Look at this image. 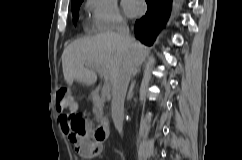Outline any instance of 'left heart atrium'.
Returning <instances> with one entry per match:
<instances>
[{
  "label": "left heart atrium",
  "mask_w": 242,
  "mask_h": 160,
  "mask_svg": "<svg viewBox=\"0 0 242 160\" xmlns=\"http://www.w3.org/2000/svg\"><path fill=\"white\" fill-rule=\"evenodd\" d=\"M123 8L130 16L140 15L144 10V3L141 0H123Z\"/></svg>",
  "instance_id": "left-heart-atrium-1"
}]
</instances>
